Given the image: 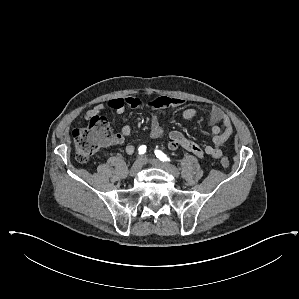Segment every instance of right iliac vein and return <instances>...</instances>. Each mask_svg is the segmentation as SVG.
I'll return each mask as SVG.
<instances>
[{
    "label": "right iliac vein",
    "mask_w": 299,
    "mask_h": 299,
    "mask_svg": "<svg viewBox=\"0 0 299 299\" xmlns=\"http://www.w3.org/2000/svg\"><path fill=\"white\" fill-rule=\"evenodd\" d=\"M144 160L143 158H138L130 169V175L135 176L143 167Z\"/></svg>",
    "instance_id": "63e3f726"
}]
</instances>
